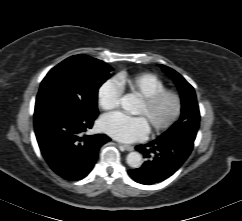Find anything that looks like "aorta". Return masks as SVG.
<instances>
[{
    "label": "aorta",
    "instance_id": "obj_1",
    "mask_svg": "<svg viewBox=\"0 0 242 221\" xmlns=\"http://www.w3.org/2000/svg\"><path fill=\"white\" fill-rule=\"evenodd\" d=\"M136 103V98L131 94H127L121 98V106L126 111H132ZM126 162L131 168H140L143 163L142 155L136 151L130 152L126 157Z\"/></svg>",
    "mask_w": 242,
    "mask_h": 221
}]
</instances>
